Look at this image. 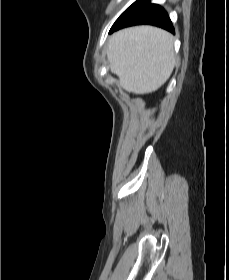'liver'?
<instances>
[{
    "instance_id": "1",
    "label": "liver",
    "mask_w": 229,
    "mask_h": 280,
    "mask_svg": "<svg viewBox=\"0 0 229 280\" xmlns=\"http://www.w3.org/2000/svg\"><path fill=\"white\" fill-rule=\"evenodd\" d=\"M173 36L152 26H136L118 31L109 40L110 70L127 92L156 91L170 77L175 66Z\"/></svg>"
}]
</instances>
